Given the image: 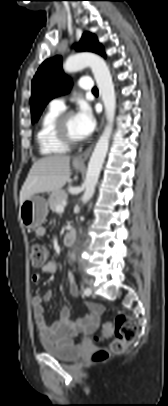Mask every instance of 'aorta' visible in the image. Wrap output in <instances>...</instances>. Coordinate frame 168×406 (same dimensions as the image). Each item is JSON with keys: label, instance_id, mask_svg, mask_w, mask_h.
Instances as JSON below:
<instances>
[{"label": "aorta", "instance_id": "762f6f07", "mask_svg": "<svg viewBox=\"0 0 168 406\" xmlns=\"http://www.w3.org/2000/svg\"><path fill=\"white\" fill-rule=\"evenodd\" d=\"M85 67L91 68L96 80L99 94L105 107L107 124L96 143L88 163L84 182L85 191L81 198L84 204L92 198L95 192L100 171L108 151L116 109V96L112 76L103 58L93 53H79L68 57L63 65L66 73L77 72Z\"/></svg>", "mask_w": 168, "mask_h": 406}]
</instances>
